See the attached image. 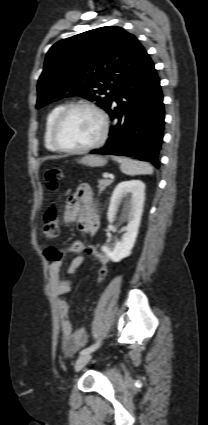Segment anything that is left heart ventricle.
<instances>
[{
	"mask_svg": "<svg viewBox=\"0 0 208 425\" xmlns=\"http://www.w3.org/2000/svg\"><path fill=\"white\" fill-rule=\"evenodd\" d=\"M101 130L99 118L86 109L72 110L60 125L57 138L67 148H81L94 142Z\"/></svg>",
	"mask_w": 208,
	"mask_h": 425,
	"instance_id": "1",
	"label": "left heart ventricle"
}]
</instances>
